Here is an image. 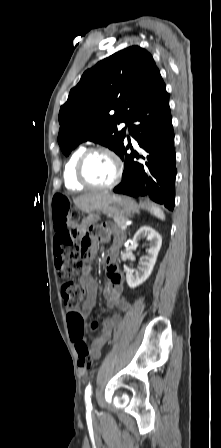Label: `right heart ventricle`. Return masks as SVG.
I'll return each mask as SVG.
<instances>
[{"label":"right heart ventricle","mask_w":221,"mask_h":448,"mask_svg":"<svg viewBox=\"0 0 221 448\" xmlns=\"http://www.w3.org/2000/svg\"><path fill=\"white\" fill-rule=\"evenodd\" d=\"M85 150L86 149L84 147H79L75 149L65 164L63 178H64V185L67 189L81 190L84 188V186L76 180L74 171L78 158Z\"/></svg>","instance_id":"e07e8e85"}]
</instances>
